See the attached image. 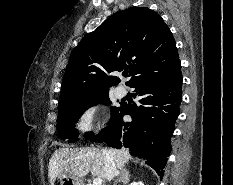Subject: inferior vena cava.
<instances>
[{
    "mask_svg": "<svg viewBox=\"0 0 233 185\" xmlns=\"http://www.w3.org/2000/svg\"><path fill=\"white\" fill-rule=\"evenodd\" d=\"M103 155H104L105 178L111 181L113 177L116 176L118 173L116 169V164L109 152L103 150Z\"/></svg>",
    "mask_w": 233,
    "mask_h": 185,
    "instance_id": "obj_1",
    "label": "inferior vena cava"
}]
</instances>
